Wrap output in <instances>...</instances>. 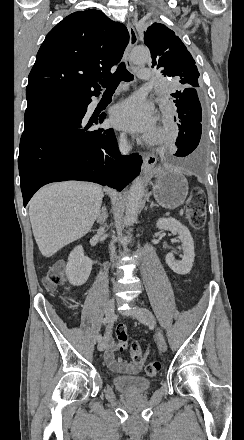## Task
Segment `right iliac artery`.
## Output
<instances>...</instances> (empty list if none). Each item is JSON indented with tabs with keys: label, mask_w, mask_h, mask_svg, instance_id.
<instances>
[{
	"label": "right iliac artery",
	"mask_w": 244,
	"mask_h": 440,
	"mask_svg": "<svg viewBox=\"0 0 244 440\" xmlns=\"http://www.w3.org/2000/svg\"><path fill=\"white\" fill-rule=\"evenodd\" d=\"M107 323H109V318H108V317H105V318L103 319V324H107ZM97 340H98L99 342L102 340V335H101V334L97 336Z\"/></svg>",
	"instance_id": "right-iliac-artery-1"
}]
</instances>
